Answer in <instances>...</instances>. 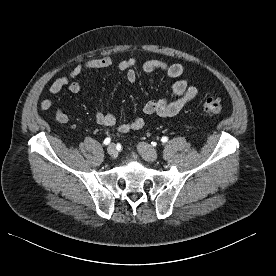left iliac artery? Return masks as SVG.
Here are the masks:
<instances>
[{
	"label": "left iliac artery",
	"instance_id": "left-iliac-artery-1",
	"mask_svg": "<svg viewBox=\"0 0 276 276\" xmlns=\"http://www.w3.org/2000/svg\"><path fill=\"white\" fill-rule=\"evenodd\" d=\"M161 141H162L163 143L167 142V141H168V137L163 136V137L161 138Z\"/></svg>",
	"mask_w": 276,
	"mask_h": 276
}]
</instances>
